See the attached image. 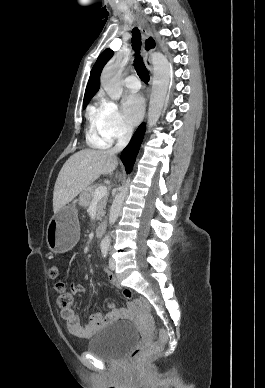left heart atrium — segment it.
<instances>
[{
    "mask_svg": "<svg viewBox=\"0 0 265 388\" xmlns=\"http://www.w3.org/2000/svg\"><path fill=\"white\" fill-rule=\"evenodd\" d=\"M123 112L130 123L136 124L139 122L144 112L143 99L139 93L130 94L124 99Z\"/></svg>",
    "mask_w": 265,
    "mask_h": 388,
    "instance_id": "39dd6f15",
    "label": "left heart atrium"
}]
</instances>
